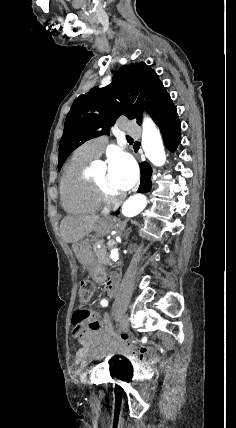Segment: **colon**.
Returning <instances> with one entry per match:
<instances>
[{
  "label": "colon",
  "mask_w": 236,
  "mask_h": 428,
  "mask_svg": "<svg viewBox=\"0 0 236 428\" xmlns=\"http://www.w3.org/2000/svg\"><path fill=\"white\" fill-rule=\"evenodd\" d=\"M93 292V284L90 280L88 279H83L80 281L79 283V298L81 302H85L86 300H88L91 296ZM90 320V324L91 326H98L99 320L98 318L94 315L92 316L91 313L86 310L83 307H79L73 314L72 317V323L74 325V330L76 332H80L83 329V325L86 321Z\"/></svg>",
  "instance_id": "1"
}]
</instances>
